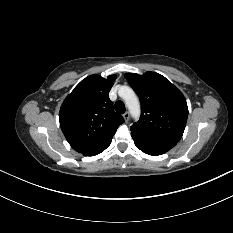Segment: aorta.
Returning <instances> with one entry per match:
<instances>
[{"label": "aorta", "instance_id": "aorta-1", "mask_svg": "<svg viewBox=\"0 0 233 233\" xmlns=\"http://www.w3.org/2000/svg\"><path fill=\"white\" fill-rule=\"evenodd\" d=\"M127 93L129 94L128 97L125 98L126 105L129 108L132 116L137 118L140 114V104L139 101L134 94V92L130 88H126Z\"/></svg>", "mask_w": 233, "mask_h": 233}]
</instances>
